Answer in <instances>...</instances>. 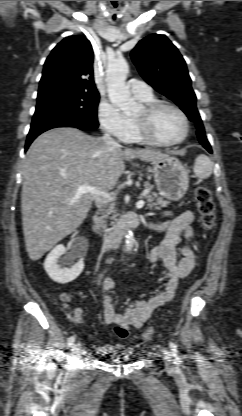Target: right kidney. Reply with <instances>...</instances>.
I'll return each mask as SVG.
<instances>
[{
  "mask_svg": "<svg viewBox=\"0 0 242 416\" xmlns=\"http://www.w3.org/2000/svg\"><path fill=\"white\" fill-rule=\"evenodd\" d=\"M75 250V245L66 249L64 245L60 244L47 255L44 269L53 281L65 284L75 280L81 274L84 262L80 259L74 263L77 258ZM64 254H66L65 257L60 260V257Z\"/></svg>",
  "mask_w": 242,
  "mask_h": 416,
  "instance_id": "ca27d5eb",
  "label": "right kidney"
}]
</instances>
